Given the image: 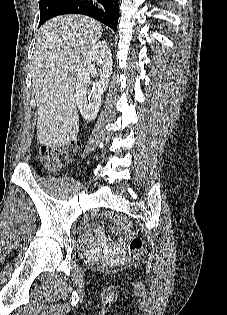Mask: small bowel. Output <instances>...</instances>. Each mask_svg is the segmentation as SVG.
<instances>
[{
    "label": "small bowel",
    "instance_id": "c3829d8e",
    "mask_svg": "<svg viewBox=\"0 0 227 315\" xmlns=\"http://www.w3.org/2000/svg\"><path fill=\"white\" fill-rule=\"evenodd\" d=\"M96 234L98 235V236H102L103 235V229L102 228H98V229H96ZM87 235H89V236H91L92 235V232L91 231H88L87 232ZM112 251H117L118 250V248L121 246V243H115V244H108L107 245Z\"/></svg>",
    "mask_w": 227,
    "mask_h": 315
}]
</instances>
